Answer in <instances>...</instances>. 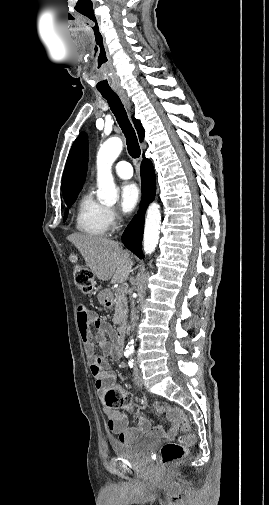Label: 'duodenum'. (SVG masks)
I'll use <instances>...</instances> for the list:
<instances>
[{"mask_svg": "<svg viewBox=\"0 0 269 505\" xmlns=\"http://www.w3.org/2000/svg\"><path fill=\"white\" fill-rule=\"evenodd\" d=\"M103 302L106 306H110L111 305V301L109 299V297L107 295H104L103 296ZM125 325L124 324H121L115 331V340L117 342V344L119 345V347H123L124 345V339H125Z\"/></svg>", "mask_w": 269, "mask_h": 505, "instance_id": "410a0bca", "label": "duodenum"}]
</instances>
